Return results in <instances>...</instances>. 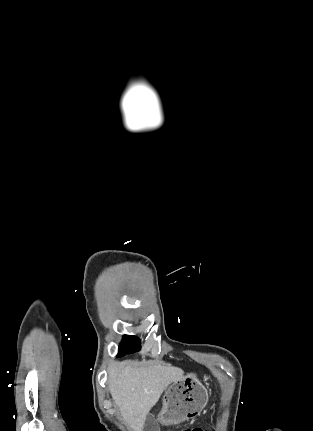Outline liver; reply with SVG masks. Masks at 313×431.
Returning a JSON list of instances; mask_svg holds the SVG:
<instances>
[{"label":"liver","instance_id":"liver-1","mask_svg":"<svg viewBox=\"0 0 313 431\" xmlns=\"http://www.w3.org/2000/svg\"><path fill=\"white\" fill-rule=\"evenodd\" d=\"M182 369L170 365L114 362L108 368L109 389L121 415L133 431H142L146 417L167 386L184 378Z\"/></svg>","mask_w":313,"mask_h":431}]
</instances>
